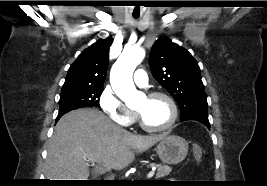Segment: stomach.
I'll list each match as a JSON object with an SVG mask.
<instances>
[{
    "label": "stomach",
    "instance_id": "stomach-1",
    "mask_svg": "<svg viewBox=\"0 0 267 186\" xmlns=\"http://www.w3.org/2000/svg\"><path fill=\"white\" fill-rule=\"evenodd\" d=\"M156 152L163 163L178 164L188 153V143L182 137L166 135L158 142Z\"/></svg>",
    "mask_w": 267,
    "mask_h": 186
}]
</instances>
